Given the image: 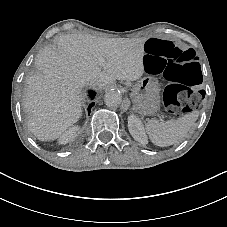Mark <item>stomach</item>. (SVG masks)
I'll use <instances>...</instances> for the list:
<instances>
[{
	"instance_id": "stomach-1",
	"label": "stomach",
	"mask_w": 227,
	"mask_h": 227,
	"mask_svg": "<svg viewBox=\"0 0 227 227\" xmlns=\"http://www.w3.org/2000/svg\"><path fill=\"white\" fill-rule=\"evenodd\" d=\"M136 110L142 115H154L160 107L158 85L153 77L146 76L133 86Z\"/></svg>"
}]
</instances>
